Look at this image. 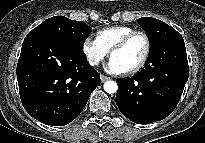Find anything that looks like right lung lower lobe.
I'll return each instance as SVG.
<instances>
[{"label":"right lung lower lobe","mask_w":205,"mask_h":143,"mask_svg":"<svg viewBox=\"0 0 205 143\" xmlns=\"http://www.w3.org/2000/svg\"><path fill=\"white\" fill-rule=\"evenodd\" d=\"M16 73L25 110L51 126L73 121L101 82L83 50L38 31L25 37Z\"/></svg>","instance_id":"right-lung-lower-lobe-1"}]
</instances>
